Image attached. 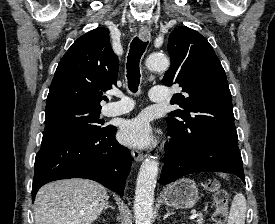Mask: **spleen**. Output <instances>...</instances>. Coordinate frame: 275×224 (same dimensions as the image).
Returning a JSON list of instances; mask_svg holds the SVG:
<instances>
[{
    "label": "spleen",
    "instance_id": "obj_1",
    "mask_svg": "<svg viewBox=\"0 0 275 224\" xmlns=\"http://www.w3.org/2000/svg\"><path fill=\"white\" fill-rule=\"evenodd\" d=\"M246 210L247 205L244 195L242 193L236 194L233 198L227 224H245Z\"/></svg>",
    "mask_w": 275,
    "mask_h": 224
}]
</instances>
